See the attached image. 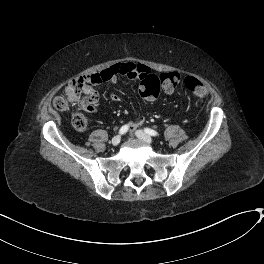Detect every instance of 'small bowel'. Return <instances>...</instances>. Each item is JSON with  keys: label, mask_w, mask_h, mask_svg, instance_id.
Masks as SVG:
<instances>
[{"label": "small bowel", "mask_w": 264, "mask_h": 264, "mask_svg": "<svg viewBox=\"0 0 264 264\" xmlns=\"http://www.w3.org/2000/svg\"><path fill=\"white\" fill-rule=\"evenodd\" d=\"M116 66H124L125 69L127 70V73L124 75L131 80H137L142 82L148 76L152 75L151 69L144 64L124 63ZM114 68L115 66H112L110 68L94 73L90 75L87 78V80L95 84H101L104 82H112L116 84L118 82V77H117L118 73L115 71ZM110 97L115 102L120 101V97L115 93H111ZM141 124H142V120L138 119L135 122H133L130 126L135 129L139 127Z\"/></svg>", "instance_id": "c3829d8e"}]
</instances>
